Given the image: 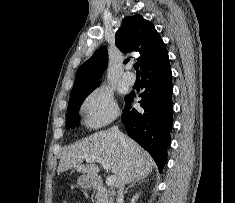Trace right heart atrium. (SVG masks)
I'll use <instances>...</instances> for the list:
<instances>
[{
    "label": "right heart atrium",
    "mask_w": 235,
    "mask_h": 203,
    "mask_svg": "<svg viewBox=\"0 0 235 203\" xmlns=\"http://www.w3.org/2000/svg\"><path fill=\"white\" fill-rule=\"evenodd\" d=\"M82 113L86 124L91 128H100L119 115V108L111 90L99 86L91 91L82 103Z\"/></svg>",
    "instance_id": "1"
}]
</instances>
